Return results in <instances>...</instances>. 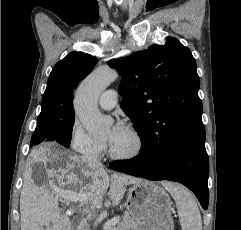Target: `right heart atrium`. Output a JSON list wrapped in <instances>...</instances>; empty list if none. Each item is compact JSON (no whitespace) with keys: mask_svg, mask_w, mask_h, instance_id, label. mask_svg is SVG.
<instances>
[{"mask_svg":"<svg viewBox=\"0 0 241 230\" xmlns=\"http://www.w3.org/2000/svg\"><path fill=\"white\" fill-rule=\"evenodd\" d=\"M69 143L75 152L88 157H96L105 149V144L92 137L78 120L72 126Z\"/></svg>","mask_w":241,"mask_h":230,"instance_id":"obj_1","label":"right heart atrium"}]
</instances>
